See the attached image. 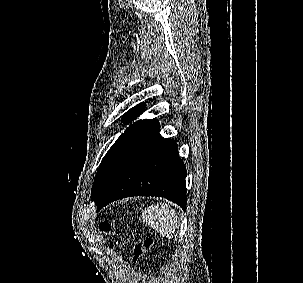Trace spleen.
Here are the masks:
<instances>
[{
    "label": "spleen",
    "instance_id": "obj_1",
    "mask_svg": "<svg viewBox=\"0 0 303 283\" xmlns=\"http://www.w3.org/2000/svg\"><path fill=\"white\" fill-rule=\"evenodd\" d=\"M142 219L162 236L173 238L177 233L178 216L165 202L146 208L142 213Z\"/></svg>",
    "mask_w": 303,
    "mask_h": 283
}]
</instances>
